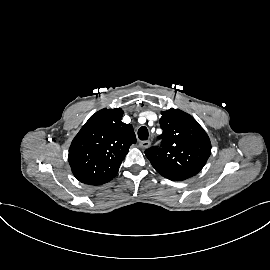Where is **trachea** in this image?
<instances>
[{"label":"trachea","mask_w":270,"mask_h":270,"mask_svg":"<svg viewBox=\"0 0 270 270\" xmlns=\"http://www.w3.org/2000/svg\"><path fill=\"white\" fill-rule=\"evenodd\" d=\"M149 136L148 129L145 126H142L138 130V137L140 140H147Z\"/></svg>","instance_id":"1"}]
</instances>
